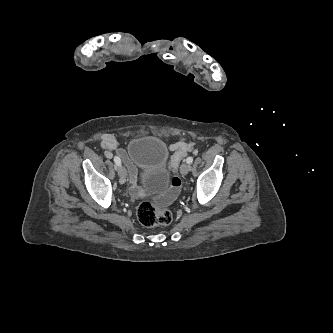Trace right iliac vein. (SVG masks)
I'll return each mask as SVG.
<instances>
[{
	"label": "right iliac vein",
	"mask_w": 333,
	"mask_h": 333,
	"mask_svg": "<svg viewBox=\"0 0 333 333\" xmlns=\"http://www.w3.org/2000/svg\"><path fill=\"white\" fill-rule=\"evenodd\" d=\"M117 172H118V175H119V180L121 183H124L126 181V177H127V171L125 169L124 166L120 165L118 166L117 168Z\"/></svg>",
	"instance_id": "63e3f726"
}]
</instances>
